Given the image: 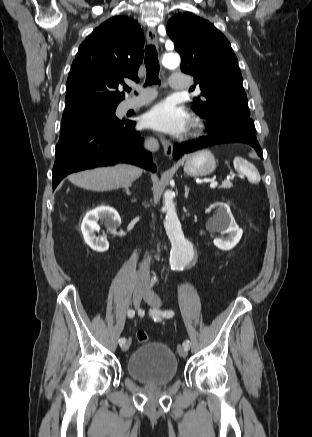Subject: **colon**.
<instances>
[{
    "label": "colon",
    "mask_w": 312,
    "mask_h": 437,
    "mask_svg": "<svg viewBox=\"0 0 312 437\" xmlns=\"http://www.w3.org/2000/svg\"><path fill=\"white\" fill-rule=\"evenodd\" d=\"M136 338L140 343H147L149 341V335L143 330L136 332Z\"/></svg>",
    "instance_id": "obj_1"
}]
</instances>
